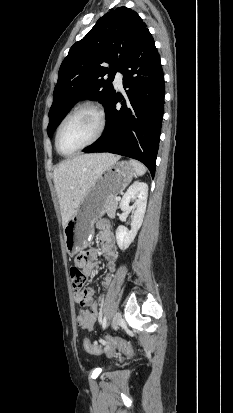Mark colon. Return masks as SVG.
Masks as SVG:
<instances>
[{"instance_id":"colon-1","label":"colon","mask_w":233,"mask_h":413,"mask_svg":"<svg viewBox=\"0 0 233 413\" xmlns=\"http://www.w3.org/2000/svg\"><path fill=\"white\" fill-rule=\"evenodd\" d=\"M70 277H71V283H72V287L74 291L75 292L80 291L86 283V274L81 269H79V267L72 266L70 268ZM101 343H107L109 345H112L116 347L118 350H120L121 352H123L124 354H127V355L132 354V348L126 341L119 340V339H112V340L104 339ZM83 346H84V349L88 353H91V354H97L101 351L100 344L99 343L93 344L89 339H84Z\"/></svg>"}]
</instances>
